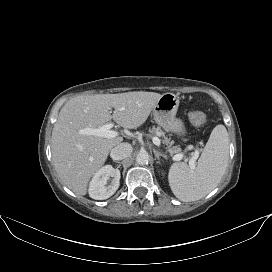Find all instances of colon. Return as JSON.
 I'll return each mask as SVG.
<instances>
[{"label":"colon","instance_id":"1","mask_svg":"<svg viewBox=\"0 0 272 272\" xmlns=\"http://www.w3.org/2000/svg\"><path fill=\"white\" fill-rule=\"evenodd\" d=\"M188 118H189L190 122L197 127H201L206 123V116L201 111L189 112Z\"/></svg>","mask_w":272,"mask_h":272}]
</instances>
